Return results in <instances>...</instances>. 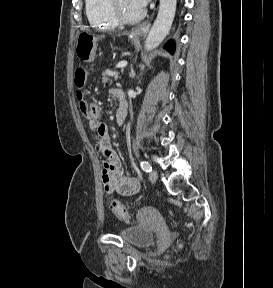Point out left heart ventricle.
I'll return each mask as SVG.
<instances>
[{"label": "left heart ventricle", "mask_w": 273, "mask_h": 288, "mask_svg": "<svg viewBox=\"0 0 273 288\" xmlns=\"http://www.w3.org/2000/svg\"><path fill=\"white\" fill-rule=\"evenodd\" d=\"M118 6L121 14L128 18L136 17L142 12L133 0H119Z\"/></svg>", "instance_id": "left-heart-ventricle-1"}]
</instances>
